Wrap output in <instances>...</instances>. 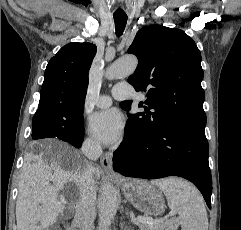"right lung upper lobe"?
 <instances>
[{"mask_svg": "<svg viewBox=\"0 0 241 230\" xmlns=\"http://www.w3.org/2000/svg\"><path fill=\"white\" fill-rule=\"evenodd\" d=\"M97 48L91 43L72 42L51 58L41 87L35 114L60 108L84 107L88 71Z\"/></svg>", "mask_w": 241, "mask_h": 230, "instance_id": "obj_1", "label": "right lung upper lobe"}]
</instances>
